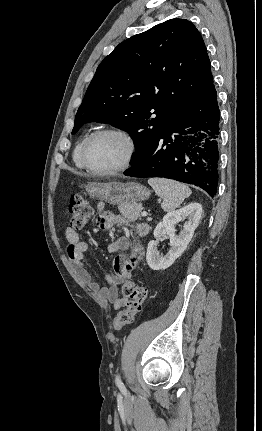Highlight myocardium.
<instances>
[{
	"instance_id": "1",
	"label": "myocardium",
	"mask_w": 262,
	"mask_h": 431,
	"mask_svg": "<svg viewBox=\"0 0 262 431\" xmlns=\"http://www.w3.org/2000/svg\"><path fill=\"white\" fill-rule=\"evenodd\" d=\"M103 134H115L120 136L126 142L127 153L123 162L119 166L112 169H107V170H98V169H94L89 165L87 161V152H88L89 145L93 141V139ZM136 152H137V146H136L135 139L128 131L120 127H105L91 133L86 138L81 149L80 159L84 169H86L92 175L111 176L126 170L133 162Z\"/></svg>"
}]
</instances>
